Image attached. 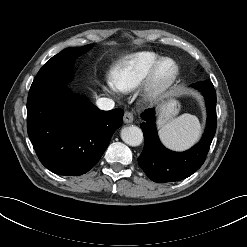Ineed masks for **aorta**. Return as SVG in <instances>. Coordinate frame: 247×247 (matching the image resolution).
<instances>
[{
  "label": "aorta",
  "mask_w": 247,
  "mask_h": 247,
  "mask_svg": "<svg viewBox=\"0 0 247 247\" xmlns=\"http://www.w3.org/2000/svg\"><path fill=\"white\" fill-rule=\"evenodd\" d=\"M121 139L129 146H139L143 141V132L137 126H127L121 130Z\"/></svg>",
  "instance_id": "1"
}]
</instances>
